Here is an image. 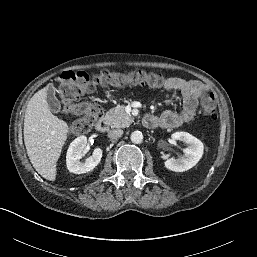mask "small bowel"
<instances>
[{"mask_svg":"<svg viewBox=\"0 0 257 257\" xmlns=\"http://www.w3.org/2000/svg\"><path fill=\"white\" fill-rule=\"evenodd\" d=\"M163 87L179 91L183 105L179 112L166 110L160 116L148 115L145 124L148 127L177 128L194 121L199 97L206 91V86L199 81L185 80L178 77L167 78Z\"/></svg>","mask_w":257,"mask_h":257,"instance_id":"small-bowel-1","label":"small bowel"}]
</instances>
